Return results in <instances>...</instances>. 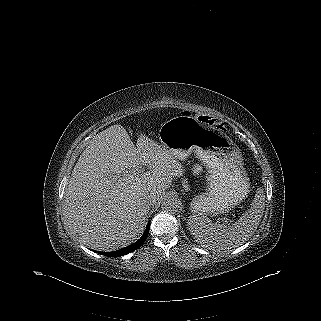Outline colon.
<instances>
[{
	"label": "colon",
	"mask_w": 321,
	"mask_h": 321,
	"mask_svg": "<svg viewBox=\"0 0 321 321\" xmlns=\"http://www.w3.org/2000/svg\"><path fill=\"white\" fill-rule=\"evenodd\" d=\"M198 120L204 124L216 126L220 129H224L225 126L223 123H218L214 118L207 116V115H200L198 116Z\"/></svg>",
	"instance_id": "obj_1"
}]
</instances>
